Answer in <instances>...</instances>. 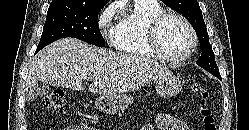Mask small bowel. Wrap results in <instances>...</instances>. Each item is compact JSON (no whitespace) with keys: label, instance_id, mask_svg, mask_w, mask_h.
<instances>
[{"label":"small bowel","instance_id":"obj_1","mask_svg":"<svg viewBox=\"0 0 249 130\" xmlns=\"http://www.w3.org/2000/svg\"><path fill=\"white\" fill-rule=\"evenodd\" d=\"M195 130L194 127H190L182 118L167 114L160 113L158 114L155 125L147 124L141 130ZM63 130H95L89 128L83 124H71L63 128Z\"/></svg>","mask_w":249,"mask_h":130}]
</instances>
